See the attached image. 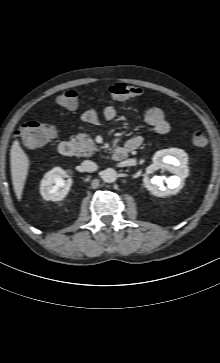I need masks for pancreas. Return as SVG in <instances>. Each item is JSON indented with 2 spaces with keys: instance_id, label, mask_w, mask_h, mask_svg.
I'll list each match as a JSON object with an SVG mask.
<instances>
[{
  "instance_id": "cf45deb5",
  "label": "pancreas",
  "mask_w": 220,
  "mask_h": 363,
  "mask_svg": "<svg viewBox=\"0 0 220 363\" xmlns=\"http://www.w3.org/2000/svg\"><path fill=\"white\" fill-rule=\"evenodd\" d=\"M73 141L78 146L80 156L89 157L98 151L94 141L84 133L78 134Z\"/></svg>"
}]
</instances>
